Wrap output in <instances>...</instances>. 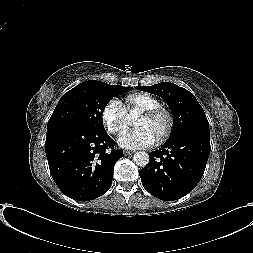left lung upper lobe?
<instances>
[{"label":"left lung upper lobe","mask_w":253,"mask_h":253,"mask_svg":"<svg viewBox=\"0 0 253 253\" xmlns=\"http://www.w3.org/2000/svg\"><path fill=\"white\" fill-rule=\"evenodd\" d=\"M136 89L156 94L169 105L173 115L171 137L191 128L209 130V123L202 107L195 96L185 88L164 82L152 86H138Z\"/></svg>","instance_id":"left-lung-upper-lobe-1"}]
</instances>
